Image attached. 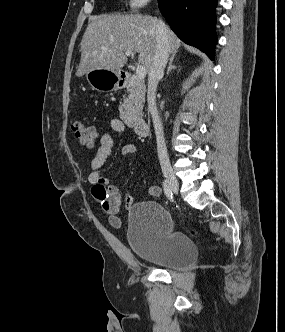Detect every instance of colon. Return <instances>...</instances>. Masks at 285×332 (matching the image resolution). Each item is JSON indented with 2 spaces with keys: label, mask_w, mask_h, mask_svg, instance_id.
Masks as SVG:
<instances>
[{
  "label": "colon",
  "mask_w": 285,
  "mask_h": 332,
  "mask_svg": "<svg viewBox=\"0 0 285 332\" xmlns=\"http://www.w3.org/2000/svg\"><path fill=\"white\" fill-rule=\"evenodd\" d=\"M72 131L79 142L87 147H92L98 138L96 128L82 121L74 122Z\"/></svg>",
  "instance_id": "obj_1"
}]
</instances>
